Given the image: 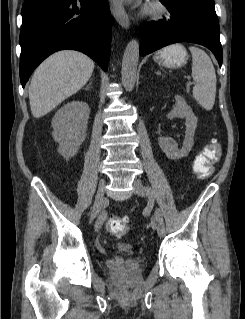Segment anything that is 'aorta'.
Here are the masks:
<instances>
[{
    "label": "aorta",
    "instance_id": "1",
    "mask_svg": "<svg viewBox=\"0 0 245 319\" xmlns=\"http://www.w3.org/2000/svg\"><path fill=\"white\" fill-rule=\"evenodd\" d=\"M138 59L139 43L133 39L127 44L122 60V84L127 91H132L134 88Z\"/></svg>",
    "mask_w": 245,
    "mask_h": 319
}]
</instances>
